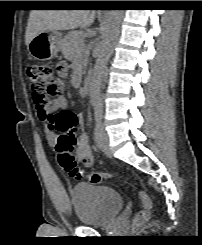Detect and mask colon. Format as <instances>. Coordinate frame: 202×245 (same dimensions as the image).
Listing matches in <instances>:
<instances>
[{"label": "colon", "mask_w": 202, "mask_h": 245, "mask_svg": "<svg viewBox=\"0 0 202 245\" xmlns=\"http://www.w3.org/2000/svg\"><path fill=\"white\" fill-rule=\"evenodd\" d=\"M64 75L65 69L61 62L55 64L32 62L27 66V77L34 93L37 113L48 124L50 130L58 133L55 149L58 166L73 178H86L92 184H100L113 176L105 172L85 173L72 155L77 142L75 131L80 125V118L68 110L51 113L48 109L51 100L61 94ZM138 197L141 208L133 218L135 227L149 220L152 209V201L147 192L138 190Z\"/></svg>", "instance_id": "1"}]
</instances>
